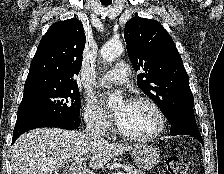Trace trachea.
Instances as JSON below:
<instances>
[{
  "label": "trachea",
  "mask_w": 224,
  "mask_h": 174,
  "mask_svg": "<svg viewBox=\"0 0 224 174\" xmlns=\"http://www.w3.org/2000/svg\"><path fill=\"white\" fill-rule=\"evenodd\" d=\"M111 0H101V2H102V4L104 5V6H108V5H110L112 2H110Z\"/></svg>",
  "instance_id": "trachea-1"
}]
</instances>
